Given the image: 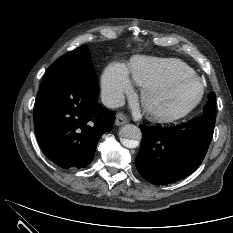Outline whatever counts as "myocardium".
Returning <instances> with one entry per match:
<instances>
[{
	"mask_svg": "<svg viewBox=\"0 0 233 233\" xmlns=\"http://www.w3.org/2000/svg\"><path fill=\"white\" fill-rule=\"evenodd\" d=\"M185 80H193V81L198 82L200 85V93L197 99L184 110L177 112V113H170V112L161 110L159 108H156L150 103V96L155 91L170 87L172 85H175ZM205 92H206V87L199 76H197L195 73L194 74H183V75L175 76L173 78H170V79H167L161 82H157V83L144 86L140 94V103H141L143 112L149 119L155 122H158V123L170 124V123L179 122L185 119L186 117H188L192 112H194V110L203 101Z\"/></svg>",
	"mask_w": 233,
	"mask_h": 233,
	"instance_id": "obj_1",
	"label": "myocardium"
}]
</instances>
